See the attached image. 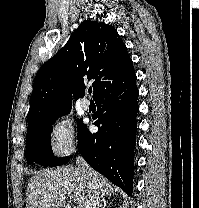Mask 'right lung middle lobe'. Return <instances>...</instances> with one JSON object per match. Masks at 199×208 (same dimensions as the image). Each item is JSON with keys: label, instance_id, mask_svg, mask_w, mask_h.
I'll return each instance as SVG.
<instances>
[{"label": "right lung middle lobe", "instance_id": "right-lung-middle-lobe-1", "mask_svg": "<svg viewBox=\"0 0 199 208\" xmlns=\"http://www.w3.org/2000/svg\"><path fill=\"white\" fill-rule=\"evenodd\" d=\"M55 119H52L34 129L27 131L25 157L29 164L32 162H36L44 166L54 167L57 165H62L68 160V157L57 158L52 153L51 133L52 124ZM84 127L85 125L82 123V120H79L77 124L78 140Z\"/></svg>", "mask_w": 199, "mask_h": 208}]
</instances>
